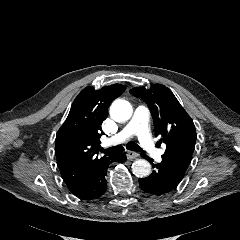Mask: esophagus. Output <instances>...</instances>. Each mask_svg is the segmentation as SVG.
I'll use <instances>...</instances> for the list:
<instances>
[{
    "label": "esophagus",
    "mask_w": 240,
    "mask_h": 240,
    "mask_svg": "<svg viewBox=\"0 0 240 240\" xmlns=\"http://www.w3.org/2000/svg\"><path fill=\"white\" fill-rule=\"evenodd\" d=\"M126 156L128 160H132L138 157V153L134 151H127Z\"/></svg>",
    "instance_id": "obj_1"
}]
</instances>
